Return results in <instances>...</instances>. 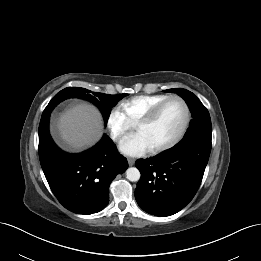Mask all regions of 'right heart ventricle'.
I'll return each mask as SVG.
<instances>
[{"label":"right heart ventricle","mask_w":261,"mask_h":261,"mask_svg":"<svg viewBox=\"0 0 261 261\" xmlns=\"http://www.w3.org/2000/svg\"><path fill=\"white\" fill-rule=\"evenodd\" d=\"M167 94L139 95L121 103V108L128 120L134 125L153 107L168 98Z\"/></svg>","instance_id":"right-heart-ventricle-1"}]
</instances>
